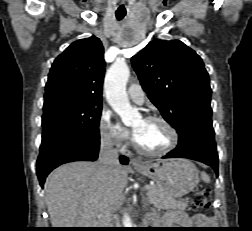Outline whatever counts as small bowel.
<instances>
[{
	"label": "small bowel",
	"mask_w": 252,
	"mask_h": 231,
	"mask_svg": "<svg viewBox=\"0 0 252 231\" xmlns=\"http://www.w3.org/2000/svg\"><path fill=\"white\" fill-rule=\"evenodd\" d=\"M168 219L175 221L182 227H188L192 229H200L209 224V218L203 214H196L192 218H189L182 211H173L168 214Z\"/></svg>",
	"instance_id": "obj_1"
}]
</instances>
